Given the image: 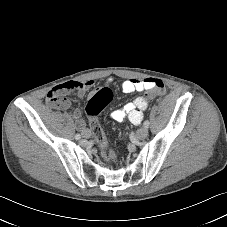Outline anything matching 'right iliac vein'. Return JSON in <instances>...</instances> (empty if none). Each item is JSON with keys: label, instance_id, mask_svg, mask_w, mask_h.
<instances>
[{"label": "right iliac vein", "instance_id": "63e3f726", "mask_svg": "<svg viewBox=\"0 0 227 227\" xmlns=\"http://www.w3.org/2000/svg\"><path fill=\"white\" fill-rule=\"evenodd\" d=\"M90 136H91L90 131H86V132L84 133V137L89 138Z\"/></svg>", "mask_w": 227, "mask_h": 227}]
</instances>
